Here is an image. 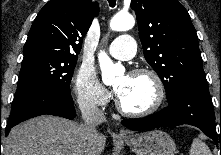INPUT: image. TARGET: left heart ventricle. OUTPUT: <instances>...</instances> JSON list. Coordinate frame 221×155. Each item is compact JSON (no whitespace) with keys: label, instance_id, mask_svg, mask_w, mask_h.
<instances>
[{"label":"left heart ventricle","instance_id":"obj_1","mask_svg":"<svg viewBox=\"0 0 221 155\" xmlns=\"http://www.w3.org/2000/svg\"><path fill=\"white\" fill-rule=\"evenodd\" d=\"M114 87L123 106L131 111L150 107L156 97L155 84L147 75L120 76Z\"/></svg>","mask_w":221,"mask_h":155}]
</instances>
